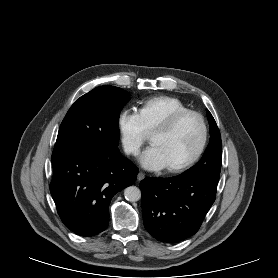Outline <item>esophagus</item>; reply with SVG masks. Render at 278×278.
Masks as SVG:
<instances>
[{
  "instance_id": "esophagus-1",
  "label": "esophagus",
  "mask_w": 278,
  "mask_h": 278,
  "mask_svg": "<svg viewBox=\"0 0 278 278\" xmlns=\"http://www.w3.org/2000/svg\"><path fill=\"white\" fill-rule=\"evenodd\" d=\"M144 178H145V174L142 173V172H139L138 175H137V180H138V181H141V180H143Z\"/></svg>"
}]
</instances>
